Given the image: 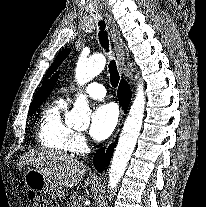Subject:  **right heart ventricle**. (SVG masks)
I'll use <instances>...</instances> for the list:
<instances>
[{"label": "right heart ventricle", "instance_id": "1", "mask_svg": "<svg viewBox=\"0 0 206 207\" xmlns=\"http://www.w3.org/2000/svg\"><path fill=\"white\" fill-rule=\"evenodd\" d=\"M66 109L67 102L59 98L41 114L37 124V142L43 148L63 153L75 151V132L63 117Z\"/></svg>", "mask_w": 206, "mask_h": 207}]
</instances>
